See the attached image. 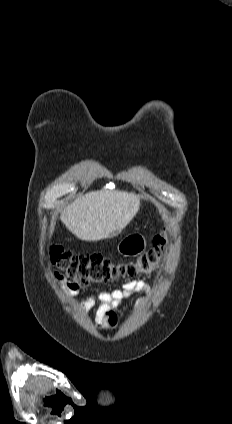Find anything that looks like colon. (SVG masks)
<instances>
[{"label":"colon","instance_id":"5ec220e1","mask_svg":"<svg viewBox=\"0 0 232 424\" xmlns=\"http://www.w3.org/2000/svg\"><path fill=\"white\" fill-rule=\"evenodd\" d=\"M165 249L164 232L154 238L151 249L130 262L115 263L100 253L77 254L57 245L51 248L50 257L57 268V280L71 289H79L155 271L160 266Z\"/></svg>","mask_w":232,"mask_h":424}]
</instances>
